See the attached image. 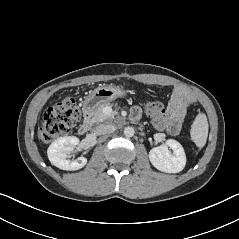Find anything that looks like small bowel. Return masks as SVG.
Segmentation results:
<instances>
[{
	"label": "small bowel",
	"mask_w": 239,
	"mask_h": 239,
	"mask_svg": "<svg viewBox=\"0 0 239 239\" xmlns=\"http://www.w3.org/2000/svg\"><path fill=\"white\" fill-rule=\"evenodd\" d=\"M190 101L191 97L185 90L177 89L174 91L169 106L166 110L167 118L165 120L168 124L170 134L176 135L179 133L186 114L187 106ZM140 116L141 109L135 106L131 111V118L133 120H137L140 118Z\"/></svg>",
	"instance_id": "c3829d8e"
}]
</instances>
